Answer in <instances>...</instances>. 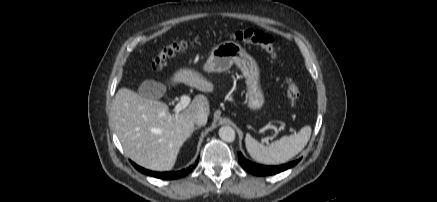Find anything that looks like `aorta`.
Here are the masks:
<instances>
[{
  "label": "aorta",
  "mask_w": 437,
  "mask_h": 202,
  "mask_svg": "<svg viewBox=\"0 0 437 202\" xmlns=\"http://www.w3.org/2000/svg\"><path fill=\"white\" fill-rule=\"evenodd\" d=\"M219 136L225 142H233L235 140V130L230 126H222L219 129Z\"/></svg>",
  "instance_id": "obj_1"
}]
</instances>
